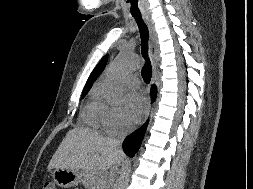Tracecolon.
Masks as SVG:
<instances>
[{
  "label": "colon",
  "mask_w": 253,
  "mask_h": 189,
  "mask_svg": "<svg viewBox=\"0 0 253 189\" xmlns=\"http://www.w3.org/2000/svg\"><path fill=\"white\" fill-rule=\"evenodd\" d=\"M43 189H58L53 182H46Z\"/></svg>",
  "instance_id": "colon-1"
}]
</instances>
